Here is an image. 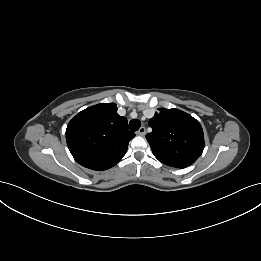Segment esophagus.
I'll return each mask as SVG.
<instances>
[{
	"instance_id": "esophagus-1",
	"label": "esophagus",
	"mask_w": 261,
	"mask_h": 261,
	"mask_svg": "<svg viewBox=\"0 0 261 261\" xmlns=\"http://www.w3.org/2000/svg\"><path fill=\"white\" fill-rule=\"evenodd\" d=\"M146 134V128L144 126L140 127V129L137 131V135L144 136Z\"/></svg>"
}]
</instances>
